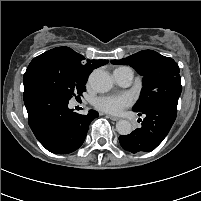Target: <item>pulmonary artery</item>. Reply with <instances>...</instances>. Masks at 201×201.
<instances>
[{
	"mask_svg": "<svg viewBox=\"0 0 201 201\" xmlns=\"http://www.w3.org/2000/svg\"><path fill=\"white\" fill-rule=\"evenodd\" d=\"M114 78L118 84L121 86H128L132 83L134 73L132 69L126 67V68H120L116 69L113 73Z\"/></svg>",
	"mask_w": 201,
	"mask_h": 201,
	"instance_id": "pulmonary-artery-1",
	"label": "pulmonary artery"
}]
</instances>
